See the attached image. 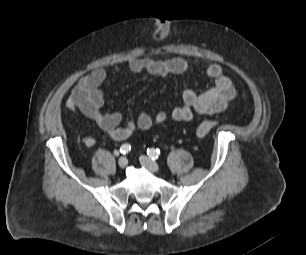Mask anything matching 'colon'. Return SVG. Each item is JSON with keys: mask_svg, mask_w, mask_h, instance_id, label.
Returning <instances> with one entry per match:
<instances>
[{"mask_svg": "<svg viewBox=\"0 0 306 255\" xmlns=\"http://www.w3.org/2000/svg\"><path fill=\"white\" fill-rule=\"evenodd\" d=\"M218 122L213 120H201L196 128V135L202 139L207 136L216 126Z\"/></svg>", "mask_w": 306, "mask_h": 255, "instance_id": "colon-1", "label": "colon"}]
</instances>
